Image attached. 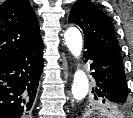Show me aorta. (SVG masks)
<instances>
[{"instance_id":"762f6f07","label":"aorta","mask_w":133,"mask_h":118,"mask_svg":"<svg viewBox=\"0 0 133 118\" xmlns=\"http://www.w3.org/2000/svg\"><path fill=\"white\" fill-rule=\"evenodd\" d=\"M65 44L75 58H79L83 46L82 35L75 27H70L64 33ZM89 90V81L86 73L77 69L72 84V95L77 101L83 100Z\"/></svg>"}]
</instances>
